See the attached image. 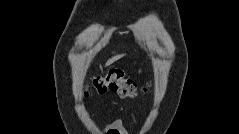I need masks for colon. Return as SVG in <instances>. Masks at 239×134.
I'll return each instance as SVG.
<instances>
[{
    "label": "colon",
    "mask_w": 239,
    "mask_h": 134,
    "mask_svg": "<svg viewBox=\"0 0 239 134\" xmlns=\"http://www.w3.org/2000/svg\"><path fill=\"white\" fill-rule=\"evenodd\" d=\"M91 89L96 94H105L108 91L119 94L122 98H135L138 93L137 84L131 78L125 77L120 69L110 70L107 74L94 77Z\"/></svg>",
    "instance_id": "5ec220e1"
}]
</instances>
